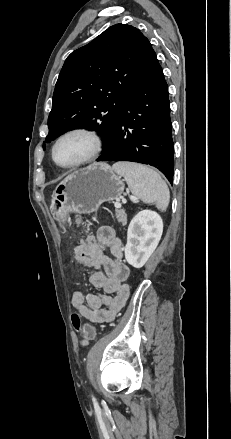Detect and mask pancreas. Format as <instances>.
<instances>
[{"label": "pancreas", "instance_id": "1", "mask_svg": "<svg viewBox=\"0 0 231 439\" xmlns=\"http://www.w3.org/2000/svg\"><path fill=\"white\" fill-rule=\"evenodd\" d=\"M116 218L122 225H126L127 217L124 210H116Z\"/></svg>", "mask_w": 231, "mask_h": 439}]
</instances>
